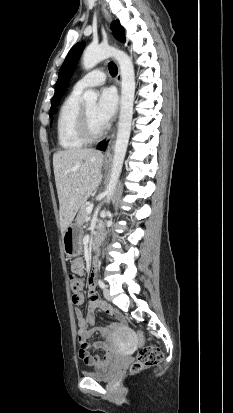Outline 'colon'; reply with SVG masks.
<instances>
[{"instance_id":"5ec220e1","label":"colon","mask_w":233,"mask_h":413,"mask_svg":"<svg viewBox=\"0 0 233 413\" xmlns=\"http://www.w3.org/2000/svg\"><path fill=\"white\" fill-rule=\"evenodd\" d=\"M70 289L73 294L80 292L83 287V279L73 273L69 275ZM163 359L161 349L154 345L142 346L138 352L137 359L130 366V372L135 373L144 368L160 363Z\"/></svg>"}]
</instances>
